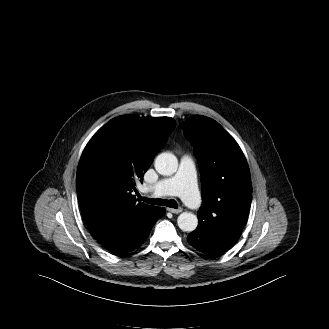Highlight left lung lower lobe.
Instances as JSON below:
<instances>
[{"label":"left lung lower lobe","mask_w":329,"mask_h":329,"mask_svg":"<svg viewBox=\"0 0 329 329\" xmlns=\"http://www.w3.org/2000/svg\"><path fill=\"white\" fill-rule=\"evenodd\" d=\"M245 224L230 222L222 231H207L198 226L189 234L190 245L208 256H217L230 249L239 239Z\"/></svg>","instance_id":"0a47b994"}]
</instances>
